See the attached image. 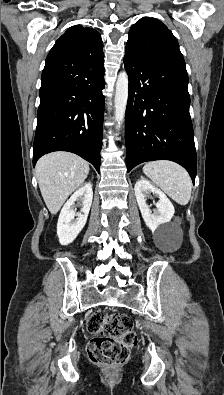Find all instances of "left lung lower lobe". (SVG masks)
I'll use <instances>...</instances> for the list:
<instances>
[{
  "mask_svg": "<svg viewBox=\"0 0 224 395\" xmlns=\"http://www.w3.org/2000/svg\"><path fill=\"white\" fill-rule=\"evenodd\" d=\"M129 77L125 116L126 165L171 160L182 165L194 183L197 159L189 114L187 72L126 50Z\"/></svg>",
  "mask_w": 224,
  "mask_h": 395,
  "instance_id": "1",
  "label": "left lung lower lobe"
}]
</instances>
